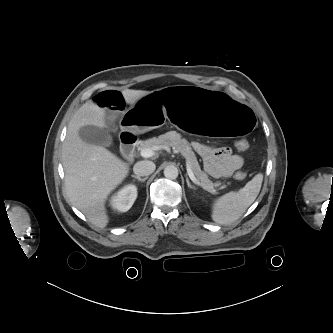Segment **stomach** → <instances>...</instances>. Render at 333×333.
Here are the masks:
<instances>
[{
  "mask_svg": "<svg viewBox=\"0 0 333 333\" xmlns=\"http://www.w3.org/2000/svg\"><path fill=\"white\" fill-rule=\"evenodd\" d=\"M122 121V128L133 134L173 122L182 130L206 139L218 136L242 139L253 132L256 116L249 105L224 94L178 85L147 93Z\"/></svg>",
  "mask_w": 333,
  "mask_h": 333,
  "instance_id": "0dacf381",
  "label": "stomach"
}]
</instances>
